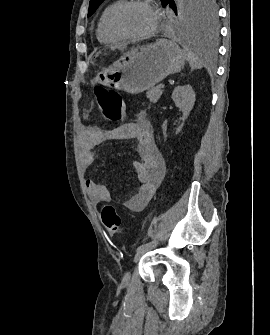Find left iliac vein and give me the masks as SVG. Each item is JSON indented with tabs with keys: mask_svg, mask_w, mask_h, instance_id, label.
Segmentation results:
<instances>
[{
	"mask_svg": "<svg viewBox=\"0 0 270 335\" xmlns=\"http://www.w3.org/2000/svg\"><path fill=\"white\" fill-rule=\"evenodd\" d=\"M146 251H147L146 249L137 251V253L134 256L133 261L138 262V260L145 254ZM129 280H130V272H126L123 276L122 284L127 285L129 283Z\"/></svg>",
	"mask_w": 270,
	"mask_h": 335,
	"instance_id": "left-iliac-vein-1",
	"label": "left iliac vein"
}]
</instances>
